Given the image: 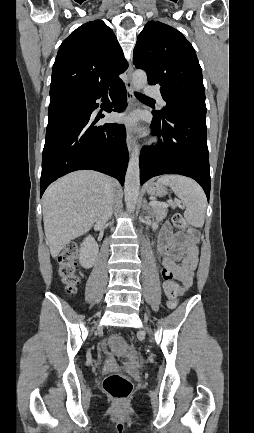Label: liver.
<instances>
[{
    "mask_svg": "<svg viewBox=\"0 0 254 433\" xmlns=\"http://www.w3.org/2000/svg\"><path fill=\"white\" fill-rule=\"evenodd\" d=\"M110 181L114 185L102 173L83 170L60 178L45 191L44 230L53 258L102 216Z\"/></svg>",
    "mask_w": 254,
    "mask_h": 433,
    "instance_id": "liver-1",
    "label": "liver"
}]
</instances>
